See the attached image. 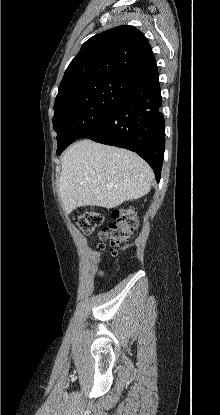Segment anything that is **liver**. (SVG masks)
Masks as SVG:
<instances>
[{"label": "liver", "instance_id": "6515ba94", "mask_svg": "<svg viewBox=\"0 0 220 415\" xmlns=\"http://www.w3.org/2000/svg\"><path fill=\"white\" fill-rule=\"evenodd\" d=\"M150 166L137 154L82 140L62 158L59 195L67 213L81 206L114 208L149 193Z\"/></svg>", "mask_w": 220, "mask_h": 415}]
</instances>
